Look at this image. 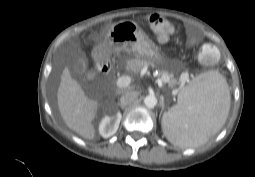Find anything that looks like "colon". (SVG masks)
<instances>
[{"mask_svg": "<svg viewBox=\"0 0 255 177\" xmlns=\"http://www.w3.org/2000/svg\"><path fill=\"white\" fill-rule=\"evenodd\" d=\"M148 23L161 41L167 40L172 33L173 26L171 22L160 14H152L148 18ZM197 58L203 63L213 64L219 58V51L213 44L206 43L198 50Z\"/></svg>", "mask_w": 255, "mask_h": 177, "instance_id": "5ec220e1", "label": "colon"}]
</instances>
